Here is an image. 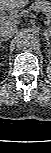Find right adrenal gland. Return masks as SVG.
Returning a JSON list of instances; mask_svg holds the SVG:
<instances>
[{
    "instance_id": "obj_1",
    "label": "right adrenal gland",
    "mask_w": 51,
    "mask_h": 153,
    "mask_svg": "<svg viewBox=\"0 0 51 153\" xmlns=\"http://www.w3.org/2000/svg\"><path fill=\"white\" fill-rule=\"evenodd\" d=\"M4 41H7V39H1L0 40V43L4 42Z\"/></svg>"
}]
</instances>
